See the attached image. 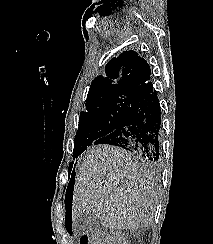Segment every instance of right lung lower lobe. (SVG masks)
Masks as SVG:
<instances>
[{"label": "right lung lower lobe", "mask_w": 213, "mask_h": 244, "mask_svg": "<svg viewBox=\"0 0 213 244\" xmlns=\"http://www.w3.org/2000/svg\"><path fill=\"white\" fill-rule=\"evenodd\" d=\"M160 126V103L156 90L150 82L136 95L118 127L110 134L97 139L93 144L118 146L149 161H156L159 159ZM73 186L72 175L66 200L71 195Z\"/></svg>", "instance_id": "98d812e1"}]
</instances>
